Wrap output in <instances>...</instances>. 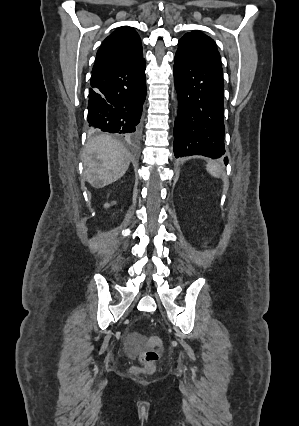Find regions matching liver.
<instances>
[{
  "instance_id": "obj_1",
  "label": "liver",
  "mask_w": 299,
  "mask_h": 426,
  "mask_svg": "<svg viewBox=\"0 0 299 426\" xmlns=\"http://www.w3.org/2000/svg\"><path fill=\"white\" fill-rule=\"evenodd\" d=\"M82 160L84 177L96 188L120 179L130 163L126 148L118 140L105 134L88 139Z\"/></svg>"
}]
</instances>
